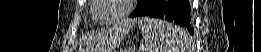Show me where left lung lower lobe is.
Instances as JSON below:
<instances>
[{"mask_svg":"<svg viewBox=\"0 0 261 52\" xmlns=\"http://www.w3.org/2000/svg\"><path fill=\"white\" fill-rule=\"evenodd\" d=\"M142 16L165 19L184 27L190 34L194 33L191 7L187 0H153L133 17Z\"/></svg>","mask_w":261,"mask_h":52,"instance_id":"0a47b994","label":"left lung lower lobe"}]
</instances>
